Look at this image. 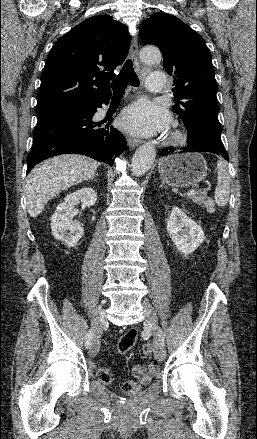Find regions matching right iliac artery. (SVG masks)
<instances>
[{"label": "right iliac artery", "instance_id": "1", "mask_svg": "<svg viewBox=\"0 0 257 439\" xmlns=\"http://www.w3.org/2000/svg\"><path fill=\"white\" fill-rule=\"evenodd\" d=\"M93 335H94L93 329L89 330V332L86 334V337H85V347L87 349L90 348Z\"/></svg>", "mask_w": 257, "mask_h": 439}]
</instances>
